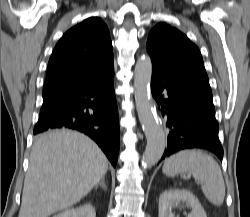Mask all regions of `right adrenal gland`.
<instances>
[{
    "label": "right adrenal gland",
    "instance_id": "1",
    "mask_svg": "<svg viewBox=\"0 0 250 217\" xmlns=\"http://www.w3.org/2000/svg\"><path fill=\"white\" fill-rule=\"evenodd\" d=\"M98 186H101L103 189L107 190V186L105 185V178H102L101 179V182H99L97 185H96V188Z\"/></svg>",
    "mask_w": 250,
    "mask_h": 217
}]
</instances>
